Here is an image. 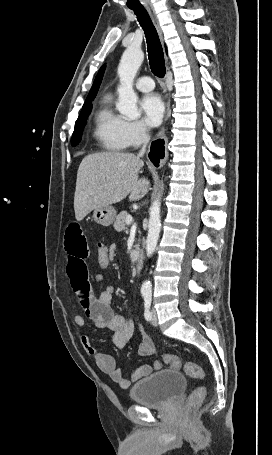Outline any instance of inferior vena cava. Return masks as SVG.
I'll return each instance as SVG.
<instances>
[{"instance_id":"1","label":"inferior vena cava","mask_w":272,"mask_h":455,"mask_svg":"<svg viewBox=\"0 0 272 455\" xmlns=\"http://www.w3.org/2000/svg\"><path fill=\"white\" fill-rule=\"evenodd\" d=\"M149 140H150V136L145 132V134L143 136V146H142V149L140 150V152L138 154L139 157L144 155Z\"/></svg>"}]
</instances>
